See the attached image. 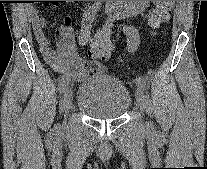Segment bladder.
I'll return each instance as SVG.
<instances>
[{
    "label": "bladder",
    "instance_id": "31cf9c89",
    "mask_svg": "<svg viewBox=\"0 0 207 169\" xmlns=\"http://www.w3.org/2000/svg\"><path fill=\"white\" fill-rule=\"evenodd\" d=\"M131 105L127 86L118 79L100 74L83 81L77 90L76 107L94 119L122 117Z\"/></svg>",
    "mask_w": 207,
    "mask_h": 169
}]
</instances>
